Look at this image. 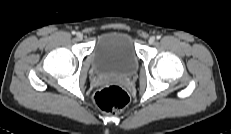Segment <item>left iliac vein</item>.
<instances>
[{
    "mask_svg": "<svg viewBox=\"0 0 231 134\" xmlns=\"http://www.w3.org/2000/svg\"><path fill=\"white\" fill-rule=\"evenodd\" d=\"M148 42H149L150 44H153V43L155 42V37H154V36H151V37L149 38Z\"/></svg>",
    "mask_w": 231,
    "mask_h": 134,
    "instance_id": "left-iliac-vein-1",
    "label": "left iliac vein"
}]
</instances>
